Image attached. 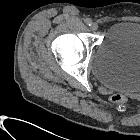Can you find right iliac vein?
Wrapping results in <instances>:
<instances>
[{"instance_id": "obj_1", "label": "right iliac vein", "mask_w": 140, "mask_h": 140, "mask_svg": "<svg viewBox=\"0 0 140 140\" xmlns=\"http://www.w3.org/2000/svg\"><path fill=\"white\" fill-rule=\"evenodd\" d=\"M98 29V24L97 23H92V25H91V30L92 31H96Z\"/></svg>"}]
</instances>
